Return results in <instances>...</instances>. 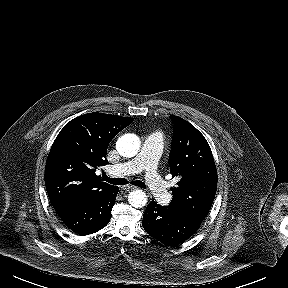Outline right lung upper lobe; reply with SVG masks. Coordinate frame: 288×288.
<instances>
[{
  "mask_svg": "<svg viewBox=\"0 0 288 288\" xmlns=\"http://www.w3.org/2000/svg\"><path fill=\"white\" fill-rule=\"evenodd\" d=\"M134 119L88 113L67 123L56 137L45 166V185L55 209L91 199L109 189L95 174L108 164L107 148Z\"/></svg>",
  "mask_w": 288,
  "mask_h": 288,
  "instance_id": "1",
  "label": "right lung upper lobe"
}]
</instances>
